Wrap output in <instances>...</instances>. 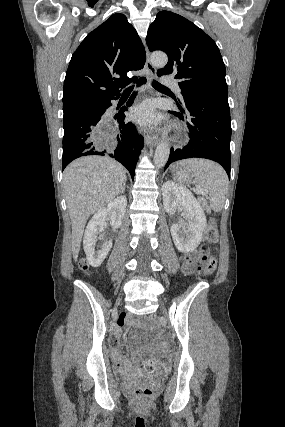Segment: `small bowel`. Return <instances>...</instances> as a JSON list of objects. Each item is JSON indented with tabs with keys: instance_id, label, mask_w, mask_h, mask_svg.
<instances>
[{
	"instance_id": "c3829d8e",
	"label": "small bowel",
	"mask_w": 285,
	"mask_h": 427,
	"mask_svg": "<svg viewBox=\"0 0 285 427\" xmlns=\"http://www.w3.org/2000/svg\"><path fill=\"white\" fill-rule=\"evenodd\" d=\"M185 262V259H184ZM127 323V319L126 318H120L117 322L116 325L118 326V328H122L126 325ZM110 342L113 345L112 351H111V358L115 364V366L121 370V371H128L131 368V363L130 361L124 360L123 359V353L122 350L120 348L119 345H117L115 343V341L113 339H110ZM140 350L139 349H134L132 351V354L134 356H138L140 354Z\"/></svg>"
}]
</instances>
